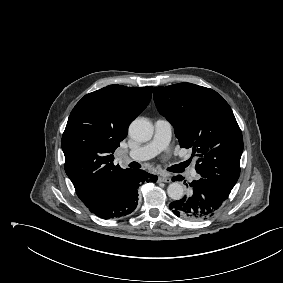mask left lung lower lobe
Masks as SVG:
<instances>
[{
	"label": "left lung lower lobe",
	"mask_w": 283,
	"mask_h": 283,
	"mask_svg": "<svg viewBox=\"0 0 283 283\" xmlns=\"http://www.w3.org/2000/svg\"><path fill=\"white\" fill-rule=\"evenodd\" d=\"M181 175L173 181H182ZM190 193L169 204L170 210L179 218L190 221L205 220L213 216L228 198L231 188L206 178L189 183Z\"/></svg>",
	"instance_id": "obj_1"
}]
</instances>
